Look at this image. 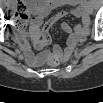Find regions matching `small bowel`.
Returning <instances> with one entry per match:
<instances>
[{"mask_svg": "<svg viewBox=\"0 0 103 103\" xmlns=\"http://www.w3.org/2000/svg\"><path fill=\"white\" fill-rule=\"evenodd\" d=\"M65 5L70 6L69 10L58 11L44 25L43 20L54 10ZM13 15L12 29L14 32L15 41L22 51L25 61L30 66H38L47 60L57 63L67 61L74 53L77 46L82 43L88 33V8L87 4L82 3H64L58 0L34 1L26 0L17 3ZM10 7V4H8ZM14 10V9H13ZM28 15L30 24L26 30V21L24 26H17L16 20H22L25 15ZM74 16L78 18V23L74 26L67 22L61 24V29L67 34V40L64 47L54 44L51 50L45 48L51 42L50 30L53 25L67 17ZM30 38V43L27 40ZM35 51H39L35 53Z\"/></svg>", "mask_w": 103, "mask_h": 103, "instance_id": "obj_1", "label": "small bowel"}]
</instances>
